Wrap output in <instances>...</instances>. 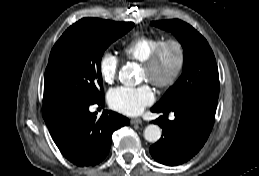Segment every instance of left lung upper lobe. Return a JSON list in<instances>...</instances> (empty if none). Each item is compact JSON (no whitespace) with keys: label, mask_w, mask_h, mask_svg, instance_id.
<instances>
[{"label":"left lung upper lobe","mask_w":259,"mask_h":176,"mask_svg":"<svg viewBox=\"0 0 259 176\" xmlns=\"http://www.w3.org/2000/svg\"><path fill=\"white\" fill-rule=\"evenodd\" d=\"M151 24L171 31L184 49L181 77L155 106L171 110L187 103H200L216 108L219 74L213 51L206 39L179 19L153 21Z\"/></svg>","instance_id":"5c2ea615"}]
</instances>
